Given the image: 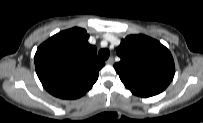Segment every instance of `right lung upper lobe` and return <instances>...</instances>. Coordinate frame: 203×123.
Listing matches in <instances>:
<instances>
[{
  "label": "right lung upper lobe",
  "mask_w": 203,
  "mask_h": 123,
  "mask_svg": "<svg viewBox=\"0 0 203 123\" xmlns=\"http://www.w3.org/2000/svg\"><path fill=\"white\" fill-rule=\"evenodd\" d=\"M88 38L86 30L75 27L55 34L37 48L36 73L50 94L77 99L97 81L105 63L97 59V49Z\"/></svg>",
  "instance_id": "1"
}]
</instances>
